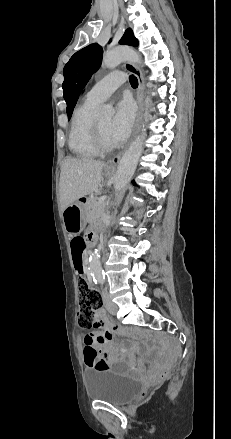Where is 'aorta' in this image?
<instances>
[{"instance_id":"1","label":"aorta","mask_w":231,"mask_h":439,"mask_svg":"<svg viewBox=\"0 0 231 439\" xmlns=\"http://www.w3.org/2000/svg\"><path fill=\"white\" fill-rule=\"evenodd\" d=\"M126 60L140 62L141 58L139 54L131 48L117 47L113 50H110L105 55L103 65L108 69H113L118 64ZM150 103L151 99L147 97L145 99V118H147ZM100 113L102 116L110 118L114 114V110L110 106H104ZM145 136L146 129L143 127L140 131V134L136 137L120 159L114 181V188L116 191H120L122 188H124L135 173L139 158L143 151V140L145 139ZM89 269L95 278L102 277L100 254L97 251L93 252L89 258Z\"/></svg>"}]
</instances>
